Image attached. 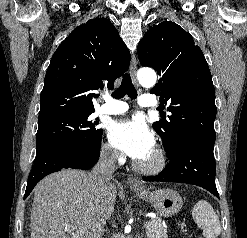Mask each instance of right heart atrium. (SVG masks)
I'll list each match as a JSON object with an SVG mask.
<instances>
[{"label":"right heart atrium","instance_id":"d8ad5b80","mask_svg":"<svg viewBox=\"0 0 247 238\" xmlns=\"http://www.w3.org/2000/svg\"><path fill=\"white\" fill-rule=\"evenodd\" d=\"M101 157L107 162H120L121 158L118 152L108 143H104L101 147Z\"/></svg>","mask_w":247,"mask_h":238}]
</instances>
